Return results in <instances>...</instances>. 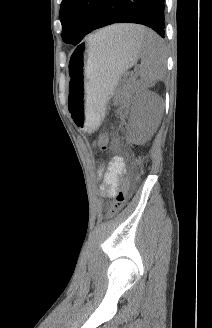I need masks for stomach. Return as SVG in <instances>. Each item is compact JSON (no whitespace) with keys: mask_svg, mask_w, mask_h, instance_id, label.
I'll return each mask as SVG.
<instances>
[{"mask_svg":"<svg viewBox=\"0 0 212 328\" xmlns=\"http://www.w3.org/2000/svg\"><path fill=\"white\" fill-rule=\"evenodd\" d=\"M140 56V46L129 41L109 40L80 44L69 61L68 108L79 129L99 125L110 92L125 71Z\"/></svg>","mask_w":212,"mask_h":328,"instance_id":"stomach-1","label":"stomach"}]
</instances>
